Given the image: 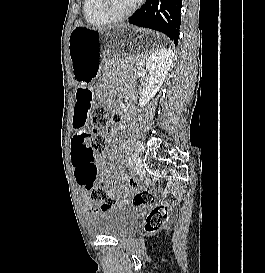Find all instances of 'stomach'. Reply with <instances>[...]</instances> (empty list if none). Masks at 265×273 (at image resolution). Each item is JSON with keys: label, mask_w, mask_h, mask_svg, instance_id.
<instances>
[{"label": "stomach", "mask_w": 265, "mask_h": 273, "mask_svg": "<svg viewBox=\"0 0 265 273\" xmlns=\"http://www.w3.org/2000/svg\"><path fill=\"white\" fill-rule=\"evenodd\" d=\"M152 30H136L126 25L98 30L76 25L69 37V55L73 75L78 83L93 78H104V73L117 69V64H136L142 56H153V51L164 45ZM127 49V51H121Z\"/></svg>", "instance_id": "obj_1"}]
</instances>
